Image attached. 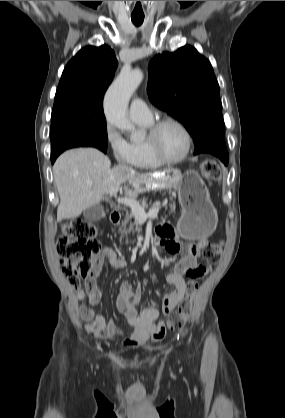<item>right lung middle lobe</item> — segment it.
I'll return each mask as SVG.
<instances>
[{"mask_svg":"<svg viewBox=\"0 0 285 418\" xmlns=\"http://www.w3.org/2000/svg\"><path fill=\"white\" fill-rule=\"evenodd\" d=\"M95 147L106 153L107 128L103 108L85 105L53 106L51 158L74 147Z\"/></svg>","mask_w":285,"mask_h":418,"instance_id":"1","label":"right lung middle lobe"}]
</instances>
